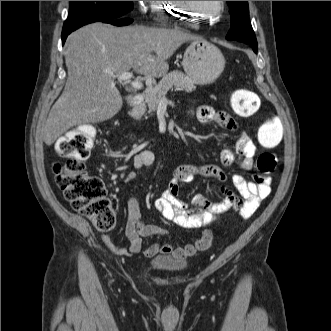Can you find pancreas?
Wrapping results in <instances>:
<instances>
[{
	"label": "pancreas",
	"mask_w": 331,
	"mask_h": 331,
	"mask_svg": "<svg viewBox=\"0 0 331 331\" xmlns=\"http://www.w3.org/2000/svg\"><path fill=\"white\" fill-rule=\"evenodd\" d=\"M173 87L186 92H192L196 89V86L189 77L178 70L172 71L166 74L157 85L145 91V102L135 106L132 109L131 116L136 120L140 119L147 110L146 105L148 106L149 112L155 111L160 99L165 97L167 92Z\"/></svg>",
	"instance_id": "pancreas-1"
}]
</instances>
